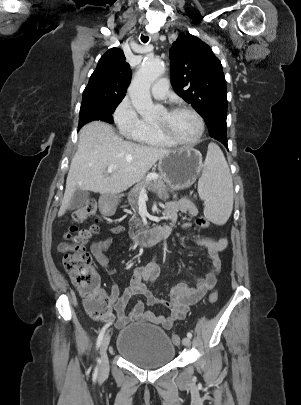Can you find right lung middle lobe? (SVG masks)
I'll return each mask as SVG.
<instances>
[{"label":"right lung middle lobe","mask_w":301,"mask_h":405,"mask_svg":"<svg viewBox=\"0 0 301 405\" xmlns=\"http://www.w3.org/2000/svg\"><path fill=\"white\" fill-rule=\"evenodd\" d=\"M122 99L106 97H88L82 99L79 114V128L92 120L113 123L112 113Z\"/></svg>","instance_id":"dd1d6c3e"}]
</instances>
